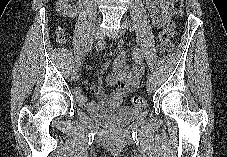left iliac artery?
I'll use <instances>...</instances> for the list:
<instances>
[{"mask_svg":"<svg viewBox=\"0 0 227 157\" xmlns=\"http://www.w3.org/2000/svg\"><path fill=\"white\" fill-rule=\"evenodd\" d=\"M127 22V21H126ZM126 28H129L130 30L133 28V25L130 21L126 23ZM148 81H153V76L151 74H148L147 76Z\"/></svg>","mask_w":227,"mask_h":157,"instance_id":"obj_1","label":"left iliac artery"}]
</instances>
